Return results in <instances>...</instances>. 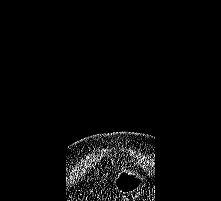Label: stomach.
Here are the masks:
<instances>
[{
    "label": "stomach",
    "instance_id": "0dacf381",
    "mask_svg": "<svg viewBox=\"0 0 221 201\" xmlns=\"http://www.w3.org/2000/svg\"><path fill=\"white\" fill-rule=\"evenodd\" d=\"M145 184L143 176L129 169L118 171L113 180L115 189L123 194H130L139 190Z\"/></svg>",
    "mask_w": 221,
    "mask_h": 201
}]
</instances>
